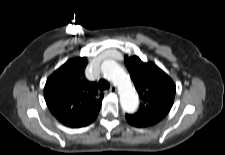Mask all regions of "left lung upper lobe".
<instances>
[{"label":"left lung upper lobe","mask_w":225,"mask_h":155,"mask_svg":"<svg viewBox=\"0 0 225 155\" xmlns=\"http://www.w3.org/2000/svg\"><path fill=\"white\" fill-rule=\"evenodd\" d=\"M135 88L142 102L137 113L126 114L129 124L148 127L157 124L170 111L176 87L172 79L153 63H144L138 56H125Z\"/></svg>","instance_id":"obj_1"}]
</instances>
